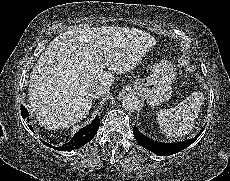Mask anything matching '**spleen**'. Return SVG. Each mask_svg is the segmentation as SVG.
I'll list each match as a JSON object with an SVG mask.
<instances>
[{"label": "spleen", "instance_id": "spleen-1", "mask_svg": "<svg viewBox=\"0 0 230 181\" xmlns=\"http://www.w3.org/2000/svg\"><path fill=\"white\" fill-rule=\"evenodd\" d=\"M202 103V95L194 92L175 107L159 110L157 120L162 133L167 137L187 135L193 128Z\"/></svg>", "mask_w": 230, "mask_h": 181}]
</instances>
